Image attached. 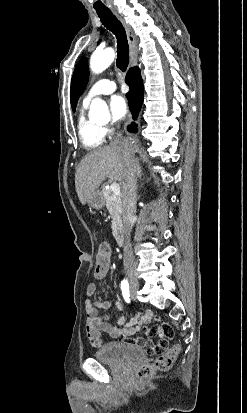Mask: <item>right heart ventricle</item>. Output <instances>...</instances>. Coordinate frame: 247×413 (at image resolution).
<instances>
[{"label": "right heart ventricle", "instance_id": "right-heart-ventricle-1", "mask_svg": "<svg viewBox=\"0 0 247 413\" xmlns=\"http://www.w3.org/2000/svg\"><path fill=\"white\" fill-rule=\"evenodd\" d=\"M78 134L81 144L87 151H98V145L104 141V131L93 122L82 118L79 122Z\"/></svg>", "mask_w": 247, "mask_h": 413}]
</instances>
